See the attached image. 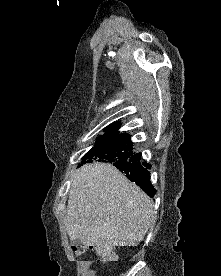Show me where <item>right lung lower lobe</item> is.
<instances>
[{
	"mask_svg": "<svg viewBox=\"0 0 221 276\" xmlns=\"http://www.w3.org/2000/svg\"><path fill=\"white\" fill-rule=\"evenodd\" d=\"M113 165L125 173L129 180L140 186L150 197H154L156 190L151 184L149 172L151 165L141 160L140 153L132 154L127 159L117 160L113 162Z\"/></svg>",
	"mask_w": 221,
	"mask_h": 276,
	"instance_id": "obj_1",
	"label": "right lung lower lobe"
}]
</instances>
